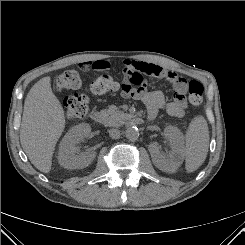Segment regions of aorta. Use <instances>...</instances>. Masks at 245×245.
<instances>
[{
    "mask_svg": "<svg viewBox=\"0 0 245 245\" xmlns=\"http://www.w3.org/2000/svg\"><path fill=\"white\" fill-rule=\"evenodd\" d=\"M125 136L128 140L130 141H135L138 139L139 137V131L137 127H127V129L125 130Z\"/></svg>",
    "mask_w": 245,
    "mask_h": 245,
    "instance_id": "762f6f07",
    "label": "aorta"
}]
</instances>
